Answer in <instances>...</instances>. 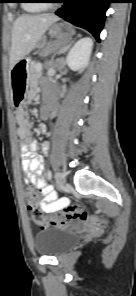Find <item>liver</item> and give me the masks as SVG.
Returning a JSON list of instances; mask_svg holds the SVG:
<instances>
[{
  "instance_id": "1",
  "label": "liver",
  "mask_w": 136,
  "mask_h": 296,
  "mask_svg": "<svg viewBox=\"0 0 136 296\" xmlns=\"http://www.w3.org/2000/svg\"><path fill=\"white\" fill-rule=\"evenodd\" d=\"M58 20L53 14L19 16L12 29L10 67L13 68L29 54L47 29Z\"/></svg>"
}]
</instances>
